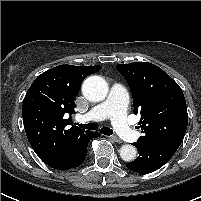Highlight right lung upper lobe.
<instances>
[{"label": "right lung upper lobe", "instance_id": "obj_1", "mask_svg": "<svg viewBox=\"0 0 201 201\" xmlns=\"http://www.w3.org/2000/svg\"><path fill=\"white\" fill-rule=\"evenodd\" d=\"M101 69L59 65L30 86L23 100V122L29 143L44 163L63 158L85 133L72 122L75 97L84 78Z\"/></svg>", "mask_w": 201, "mask_h": 201}]
</instances>
